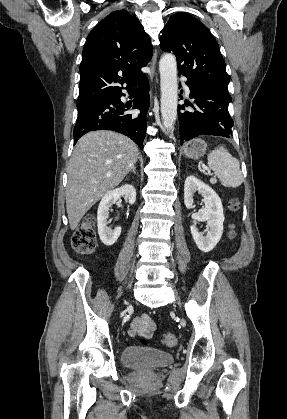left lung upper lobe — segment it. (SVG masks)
Segmentation results:
<instances>
[{
	"label": "left lung upper lobe",
	"mask_w": 287,
	"mask_h": 419,
	"mask_svg": "<svg viewBox=\"0 0 287 419\" xmlns=\"http://www.w3.org/2000/svg\"><path fill=\"white\" fill-rule=\"evenodd\" d=\"M160 47L173 52L187 81L228 90L230 76L210 31L187 13L172 15L161 31Z\"/></svg>",
	"instance_id": "5c2ea615"
}]
</instances>
